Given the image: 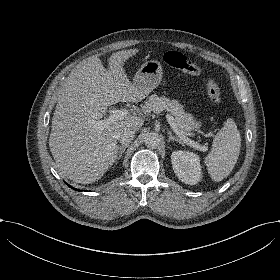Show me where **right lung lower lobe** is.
I'll list each match as a JSON object with an SVG mask.
<instances>
[{"label":"right lung lower lobe","instance_id":"right-lung-lower-lobe-1","mask_svg":"<svg viewBox=\"0 0 280 280\" xmlns=\"http://www.w3.org/2000/svg\"><path fill=\"white\" fill-rule=\"evenodd\" d=\"M70 188H72V189H74V190H76V191H80V190H78V189H75V188H73V187H71L70 185H68Z\"/></svg>","mask_w":280,"mask_h":280}]
</instances>
